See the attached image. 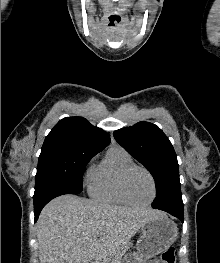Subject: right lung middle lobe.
Returning <instances> with one entry per match:
<instances>
[{
  "instance_id": "dd1d6c3e",
  "label": "right lung middle lobe",
  "mask_w": 220,
  "mask_h": 263,
  "mask_svg": "<svg viewBox=\"0 0 220 263\" xmlns=\"http://www.w3.org/2000/svg\"><path fill=\"white\" fill-rule=\"evenodd\" d=\"M97 153L73 150H46L39 156L34 196L49 189L80 193L87 163Z\"/></svg>"
}]
</instances>
